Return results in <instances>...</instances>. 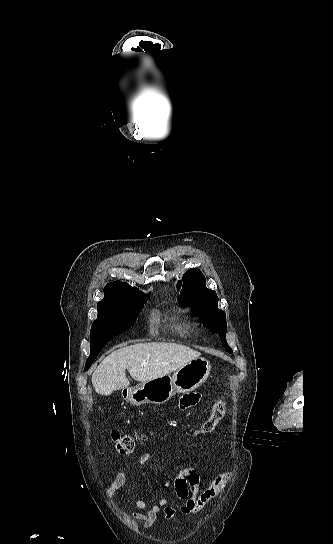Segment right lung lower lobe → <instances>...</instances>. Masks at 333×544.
Wrapping results in <instances>:
<instances>
[{
	"label": "right lung lower lobe",
	"instance_id": "98d812e1",
	"mask_svg": "<svg viewBox=\"0 0 333 544\" xmlns=\"http://www.w3.org/2000/svg\"><path fill=\"white\" fill-rule=\"evenodd\" d=\"M87 369H88V367H85V370H87Z\"/></svg>",
	"mask_w": 333,
	"mask_h": 544
}]
</instances>
